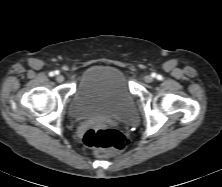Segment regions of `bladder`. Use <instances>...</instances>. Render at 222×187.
<instances>
[{
  "instance_id": "1",
  "label": "bladder",
  "mask_w": 222,
  "mask_h": 187,
  "mask_svg": "<svg viewBox=\"0 0 222 187\" xmlns=\"http://www.w3.org/2000/svg\"><path fill=\"white\" fill-rule=\"evenodd\" d=\"M73 120L104 116L110 121L134 124L138 115L135 99L122 71L112 65H97L82 77L68 106Z\"/></svg>"
}]
</instances>
